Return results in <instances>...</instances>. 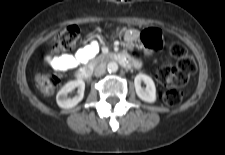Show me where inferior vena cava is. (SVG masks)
Returning a JSON list of instances; mask_svg holds the SVG:
<instances>
[{
	"label": "inferior vena cava",
	"instance_id": "602c4592",
	"mask_svg": "<svg viewBox=\"0 0 225 155\" xmlns=\"http://www.w3.org/2000/svg\"><path fill=\"white\" fill-rule=\"evenodd\" d=\"M105 70H106V65L101 63L98 66H96V68L94 70V75L96 77H99L105 73Z\"/></svg>",
	"mask_w": 225,
	"mask_h": 155
}]
</instances>
